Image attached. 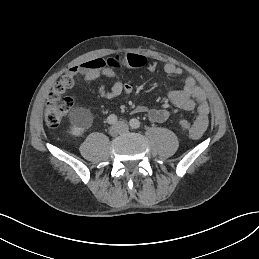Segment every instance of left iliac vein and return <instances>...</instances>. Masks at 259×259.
I'll return each instance as SVG.
<instances>
[{"instance_id":"4c4485c4","label":"left iliac vein","mask_w":259,"mask_h":259,"mask_svg":"<svg viewBox=\"0 0 259 259\" xmlns=\"http://www.w3.org/2000/svg\"><path fill=\"white\" fill-rule=\"evenodd\" d=\"M117 126L120 128V133L122 134L127 133L129 131V126L125 122L120 121L117 123Z\"/></svg>"}]
</instances>
